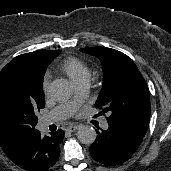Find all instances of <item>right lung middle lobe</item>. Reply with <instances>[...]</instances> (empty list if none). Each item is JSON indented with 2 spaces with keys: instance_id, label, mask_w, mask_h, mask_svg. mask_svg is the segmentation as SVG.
Masks as SVG:
<instances>
[{
  "instance_id": "obj_1",
  "label": "right lung middle lobe",
  "mask_w": 171,
  "mask_h": 171,
  "mask_svg": "<svg viewBox=\"0 0 171 171\" xmlns=\"http://www.w3.org/2000/svg\"><path fill=\"white\" fill-rule=\"evenodd\" d=\"M15 57L0 71V143L23 148L38 132L37 112L44 107L43 77Z\"/></svg>"
}]
</instances>
